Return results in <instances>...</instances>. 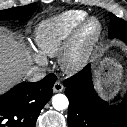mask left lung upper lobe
<instances>
[{"label":"left lung upper lobe","instance_id":"left-lung-upper-lobe-1","mask_svg":"<svg viewBox=\"0 0 127 127\" xmlns=\"http://www.w3.org/2000/svg\"><path fill=\"white\" fill-rule=\"evenodd\" d=\"M109 17L111 19L108 33L109 38H120L127 35V22L112 13L109 14Z\"/></svg>","mask_w":127,"mask_h":127}]
</instances>
